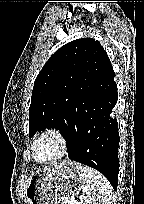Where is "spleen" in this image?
<instances>
[{
	"instance_id": "spleen-1",
	"label": "spleen",
	"mask_w": 144,
	"mask_h": 204,
	"mask_svg": "<svg viewBox=\"0 0 144 204\" xmlns=\"http://www.w3.org/2000/svg\"><path fill=\"white\" fill-rule=\"evenodd\" d=\"M82 189L81 204H111L112 186L100 172L91 167H84Z\"/></svg>"
}]
</instances>
